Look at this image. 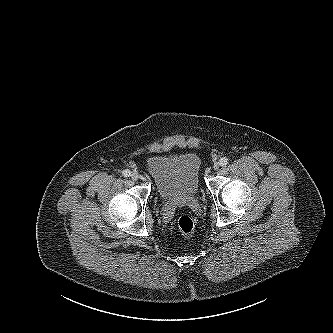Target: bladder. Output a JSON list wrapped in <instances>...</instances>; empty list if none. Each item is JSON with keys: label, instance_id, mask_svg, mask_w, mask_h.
Wrapping results in <instances>:
<instances>
[{"label": "bladder", "instance_id": "31cf9c89", "mask_svg": "<svg viewBox=\"0 0 333 333\" xmlns=\"http://www.w3.org/2000/svg\"><path fill=\"white\" fill-rule=\"evenodd\" d=\"M202 160L195 152L157 155L148 159L146 169L162 199L188 198L198 194Z\"/></svg>", "mask_w": 333, "mask_h": 333}]
</instances>
